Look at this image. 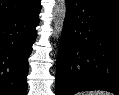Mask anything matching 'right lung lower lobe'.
<instances>
[{"instance_id": "98d812e1", "label": "right lung lower lobe", "mask_w": 119, "mask_h": 95, "mask_svg": "<svg viewBox=\"0 0 119 95\" xmlns=\"http://www.w3.org/2000/svg\"><path fill=\"white\" fill-rule=\"evenodd\" d=\"M40 0L0 22V95H26L28 57L35 41Z\"/></svg>"}]
</instances>
